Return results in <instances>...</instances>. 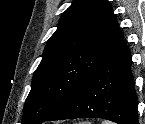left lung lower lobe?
I'll return each mask as SVG.
<instances>
[{"instance_id": "obj_1", "label": "left lung lower lobe", "mask_w": 145, "mask_h": 124, "mask_svg": "<svg viewBox=\"0 0 145 124\" xmlns=\"http://www.w3.org/2000/svg\"><path fill=\"white\" fill-rule=\"evenodd\" d=\"M73 118L139 124L131 55L125 43L45 121Z\"/></svg>"}]
</instances>
